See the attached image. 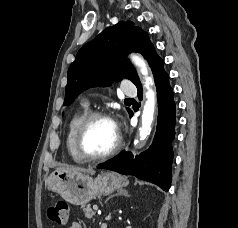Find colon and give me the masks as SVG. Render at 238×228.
Masks as SVG:
<instances>
[{"label":"colon","instance_id":"5ec220e1","mask_svg":"<svg viewBox=\"0 0 238 228\" xmlns=\"http://www.w3.org/2000/svg\"><path fill=\"white\" fill-rule=\"evenodd\" d=\"M47 219L56 225L65 226L70 219V208L66 202L59 201L46 210Z\"/></svg>","mask_w":238,"mask_h":228}]
</instances>
